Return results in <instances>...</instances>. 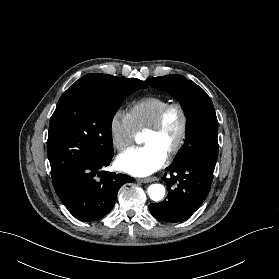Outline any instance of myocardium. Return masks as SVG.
I'll use <instances>...</instances> for the list:
<instances>
[{"instance_id": "1", "label": "myocardium", "mask_w": 279, "mask_h": 279, "mask_svg": "<svg viewBox=\"0 0 279 279\" xmlns=\"http://www.w3.org/2000/svg\"><path fill=\"white\" fill-rule=\"evenodd\" d=\"M174 109H176L181 116V130H180L178 140L176 144L173 146V148L170 150V152L168 153L167 158L174 157L181 150V148L185 143L187 130H188V116L183 105L178 102L168 103L159 111L154 122L145 130V133H154L161 130V128L165 123V119L167 115L169 114L170 111Z\"/></svg>"}]
</instances>
